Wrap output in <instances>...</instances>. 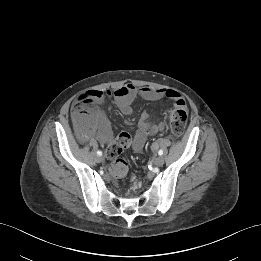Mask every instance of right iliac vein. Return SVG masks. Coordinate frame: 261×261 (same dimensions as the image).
Wrapping results in <instances>:
<instances>
[{"label":"right iliac vein","instance_id":"1","mask_svg":"<svg viewBox=\"0 0 261 261\" xmlns=\"http://www.w3.org/2000/svg\"><path fill=\"white\" fill-rule=\"evenodd\" d=\"M103 161V157L102 156H97L96 157V162L97 163H101Z\"/></svg>","mask_w":261,"mask_h":261}]
</instances>
